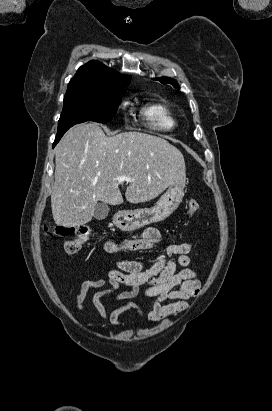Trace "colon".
Segmentation results:
<instances>
[{
	"label": "colon",
	"instance_id": "colon-1",
	"mask_svg": "<svg viewBox=\"0 0 272 411\" xmlns=\"http://www.w3.org/2000/svg\"><path fill=\"white\" fill-rule=\"evenodd\" d=\"M199 203L191 199L186 206L187 214L192 217L198 213ZM56 236L65 238L64 251L66 254L73 255L88 241L91 229L88 225L66 226L59 225L54 228Z\"/></svg>",
	"mask_w": 272,
	"mask_h": 411
}]
</instances>
